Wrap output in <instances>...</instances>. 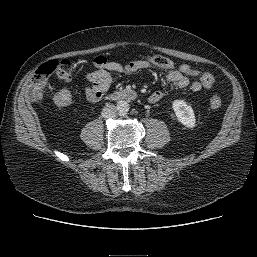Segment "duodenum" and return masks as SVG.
I'll use <instances>...</instances> for the list:
<instances>
[{
	"label": "duodenum",
	"mask_w": 257,
	"mask_h": 257,
	"mask_svg": "<svg viewBox=\"0 0 257 257\" xmlns=\"http://www.w3.org/2000/svg\"><path fill=\"white\" fill-rule=\"evenodd\" d=\"M137 96L136 92L131 89H124L120 91H116L109 96H106V100H129L135 99Z\"/></svg>",
	"instance_id": "obj_1"
}]
</instances>
